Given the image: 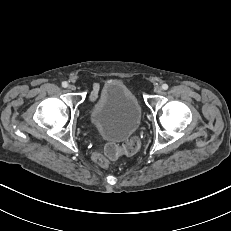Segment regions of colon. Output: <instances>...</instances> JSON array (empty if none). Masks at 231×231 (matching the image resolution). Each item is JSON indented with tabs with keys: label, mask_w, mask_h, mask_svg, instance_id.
Listing matches in <instances>:
<instances>
[{
	"label": "colon",
	"mask_w": 231,
	"mask_h": 231,
	"mask_svg": "<svg viewBox=\"0 0 231 231\" xmlns=\"http://www.w3.org/2000/svg\"><path fill=\"white\" fill-rule=\"evenodd\" d=\"M138 148L139 142L136 139L130 140L121 146L110 142L94 151L92 159L98 165L107 167L111 160L118 158L121 154L133 155Z\"/></svg>",
	"instance_id": "5ec220e1"
}]
</instances>
